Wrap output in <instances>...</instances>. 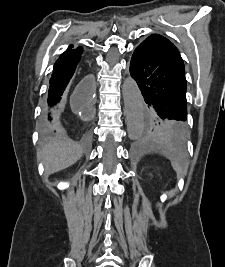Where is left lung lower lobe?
<instances>
[{
	"instance_id": "left-lung-lower-lobe-1",
	"label": "left lung lower lobe",
	"mask_w": 225,
	"mask_h": 267,
	"mask_svg": "<svg viewBox=\"0 0 225 267\" xmlns=\"http://www.w3.org/2000/svg\"><path fill=\"white\" fill-rule=\"evenodd\" d=\"M130 74L150 109L172 121L173 132L182 139V124L187 120L186 78L175 45L161 35L149 36L135 49Z\"/></svg>"
}]
</instances>
